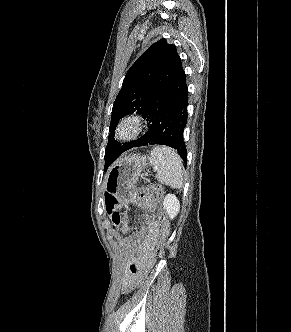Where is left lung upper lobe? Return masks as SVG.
Wrapping results in <instances>:
<instances>
[{
  "instance_id": "1",
  "label": "left lung upper lobe",
  "mask_w": 291,
  "mask_h": 332,
  "mask_svg": "<svg viewBox=\"0 0 291 332\" xmlns=\"http://www.w3.org/2000/svg\"><path fill=\"white\" fill-rule=\"evenodd\" d=\"M181 59L176 47L167 44L165 39L151 45L130 67L122 88L113 104L111 135L105 150V165L124 145H119L114 136V129L119 120L137 112L145 115L153 99L163 90L179 66Z\"/></svg>"
}]
</instances>
